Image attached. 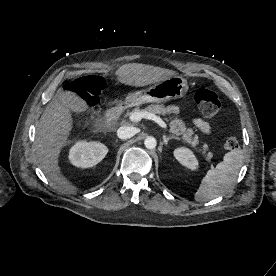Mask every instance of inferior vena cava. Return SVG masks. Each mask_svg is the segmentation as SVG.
<instances>
[{"mask_svg":"<svg viewBox=\"0 0 276 276\" xmlns=\"http://www.w3.org/2000/svg\"><path fill=\"white\" fill-rule=\"evenodd\" d=\"M136 132H137L136 128H134L132 126H121L117 130V136L120 139L126 140V139L133 137L136 134Z\"/></svg>","mask_w":276,"mask_h":276,"instance_id":"obj_1","label":"inferior vena cava"}]
</instances>
